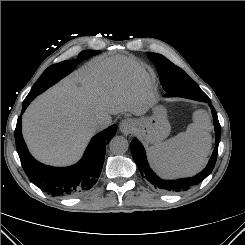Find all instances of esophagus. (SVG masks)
Listing matches in <instances>:
<instances>
[{"label":"esophagus","mask_w":245,"mask_h":245,"mask_svg":"<svg viewBox=\"0 0 245 245\" xmlns=\"http://www.w3.org/2000/svg\"><path fill=\"white\" fill-rule=\"evenodd\" d=\"M119 128H120V131L123 134L128 135V134H130L131 132L134 131L135 122L132 119H130V118L123 119L120 122Z\"/></svg>","instance_id":"obj_1"}]
</instances>
